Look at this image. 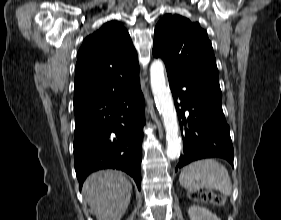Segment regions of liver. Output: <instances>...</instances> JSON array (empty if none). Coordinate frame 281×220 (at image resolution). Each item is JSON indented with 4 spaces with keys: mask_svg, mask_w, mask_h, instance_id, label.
<instances>
[{
    "mask_svg": "<svg viewBox=\"0 0 281 220\" xmlns=\"http://www.w3.org/2000/svg\"><path fill=\"white\" fill-rule=\"evenodd\" d=\"M82 191L97 220H120L130 203L132 185L120 171L101 170L87 177Z\"/></svg>",
    "mask_w": 281,
    "mask_h": 220,
    "instance_id": "obj_1",
    "label": "liver"
}]
</instances>
